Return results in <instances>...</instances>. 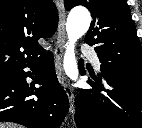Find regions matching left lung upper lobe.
<instances>
[{
    "label": "left lung upper lobe",
    "instance_id": "obj_1",
    "mask_svg": "<svg viewBox=\"0 0 142 128\" xmlns=\"http://www.w3.org/2000/svg\"><path fill=\"white\" fill-rule=\"evenodd\" d=\"M64 5L90 11L93 21L85 41L94 46L101 71L142 78V48L126 0H64Z\"/></svg>",
    "mask_w": 142,
    "mask_h": 128
}]
</instances>
